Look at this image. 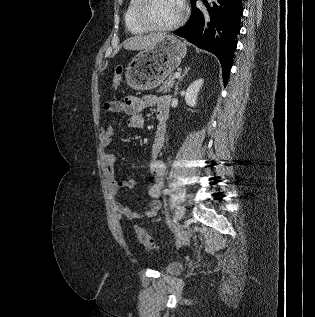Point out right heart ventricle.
Segmentation results:
<instances>
[{
  "label": "right heart ventricle",
  "instance_id": "e07e8e85",
  "mask_svg": "<svg viewBox=\"0 0 315 317\" xmlns=\"http://www.w3.org/2000/svg\"><path fill=\"white\" fill-rule=\"evenodd\" d=\"M139 4V0H129L125 14H124V22L127 30L131 34H143L147 30L141 27L136 20V8Z\"/></svg>",
  "mask_w": 315,
  "mask_h": 317
}]
</instances>
